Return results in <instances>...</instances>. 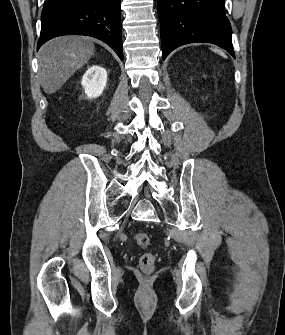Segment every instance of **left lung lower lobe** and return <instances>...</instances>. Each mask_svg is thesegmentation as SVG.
I'll return each mask as SVG.
<instances>
[{
  "label": "left lung lower lobe",
  "instance_id": "obj_1",
  "mask_svg": "<svg viewBox=\"0 0 285 335\" xmlns=\"http://www.w3.org/2000/svg\"><path fill=\"white\" fill-rule=\"evenodd\" d=\"M163 60L175 48L195 42L215 44L233 57L225 0H157Z\"/></svg>",
  "mask_w": 285,
  "mask_h": 335
}]
</instances>
